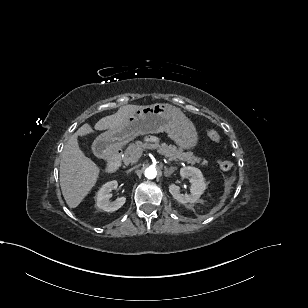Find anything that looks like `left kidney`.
Segmentation results:
<instances>
[{
    "instance_id": "1",
    "label": "left kidney",
    "mask_w": 308,
    "mask_h": 308,
    "mask_svg": "<svg viewBox=\"0 0 308 308\" xmlns=\"http://www.w3.org/2000/svg\"><path fill=\"white\" fill-rule=\"evenodd\" d=\"M180 176L182 179L189 178L191 194H181L180 187L175 184L169 186V192L174 199L182 204L197 202L206 189V183L201 171L195 167H183L180 170Z\"/></svg>"
}]
</instances>
